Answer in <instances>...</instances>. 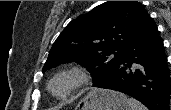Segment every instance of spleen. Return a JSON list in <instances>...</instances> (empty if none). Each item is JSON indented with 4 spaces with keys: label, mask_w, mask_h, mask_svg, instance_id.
Segmentation results:
<instances>
[{
    "label": "spleen",
    "mask_w": 171,
    "mask_h": 110,
    "mask_svg": "<svg viewBox=\"0 0 171 110\" xmlns=\"http://www.w3.org/2000/svg\"><path fill=\"white\" fill-rule=\"evenodd\" d=\"M127 110H147L146 107L133 98H128L126 100Z\"/></svg>",
    "instance_id": "3e777b00"
}]
</instances>
